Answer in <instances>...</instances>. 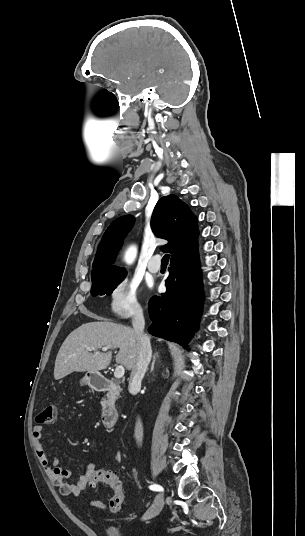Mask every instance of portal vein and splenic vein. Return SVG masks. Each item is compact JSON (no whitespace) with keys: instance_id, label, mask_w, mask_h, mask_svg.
I'll list each match as a JSON object with an SVG mask.
<instances>
[{"instance_id":"obj_1","label":"portal vein and splenic vein","mask_w":305,"mask_h":536,"mask_svg":"<svg viewBox=\"0 0 305 536\" xmlns=\"http://www.w3.org/2000/svg\"><path fill=\"white\" fill-rule=\"evenodd\" d=\"M86 350H90V352H92L93 348H86ZM102 350L103 352H106V350H109V348H102ZM124 374H125V370L123 366H117L114 372L115 378H123Z\"/></svg>"}]
</instances>
